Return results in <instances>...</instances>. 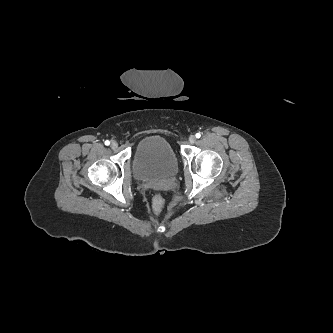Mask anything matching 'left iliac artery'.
<instances>
[{
	"label": "left iliac artery",
	"mask_w": 333,
	"mask_h": 333,
	"mask_svg": "<svg viewBox=\"0 0 333 333\" xmlns=\"http://www.w3.org/2000/svg\"><path fill=\"white\" fill-rule=\"evenodd\" d=\"M196 138H200L201 137V134L200 133H196Z\"/></svg>",
	"instance_id": "44dca946"
}]
</instances>
